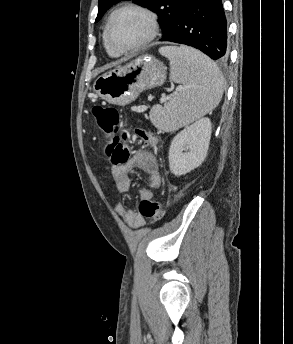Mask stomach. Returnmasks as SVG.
<instances>
[{
    "mask_svg": "<svg viewBox=\"0 0 293 344\" xmlns=\"http://www.w3.org/2000/svg\"><path fill=\"white\" fill-rule=\"evenodd\" d=\"M165 80L164 65L152 56L143 55L100 75L93 88L107 102L124 106L137 99L144 90L160 86Z\"/></svg>",
    "mask_w": 293,
    "mask_h": 344,
    "instance_id": "0dacf381",
    "label": "stomach"
}]
</instances>
